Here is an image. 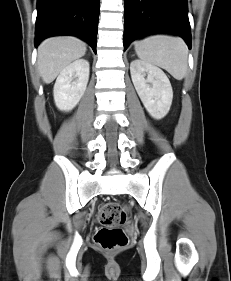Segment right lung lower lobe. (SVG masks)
<instances>
[{
	"label": "right lung lower lobe",
	"instance_id": "98d812e1",
	"mask_svg": "<svg viewBox=\"0 0 231 281\" xmlns=\"http://www.w3.org/2000/svg\"><path fill=\"white\" fill-rule=\"evenodd\" d=\"M100 0H37L35 46L45 38L77 36L96 52Z\"/></svg>",
	"mask_w": 231,
	"mask_h": 281
}]
</instances>
